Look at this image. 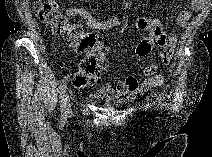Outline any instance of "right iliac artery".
<instances>
[{
	"instance_id": "82829eb1",
	"label": "right iliac artery",
	"mask_w": 212,
	"mask_h": 157,
	"mask_svg": "<svg viewBox=\"0 0 212 157\" xmlns=\"http://www.w3.org/2000/svg\"><path fill=\"white\" fill-rule=\"evenodd\" d=\"M59 89H60V111L63 113L65 110L64 95L66 89V80H62Z\"/></svg>"
}]
</instances>
